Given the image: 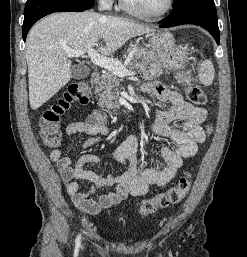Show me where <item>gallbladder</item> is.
<instances>
[{
    "instance_id": "gallbladder-1",
    "label": "gallbladder",
    "mask_w": 247,
    "mask_h": 257,
    "mask_svg": "<svg viewBox=\"0 0 247 257\" xmlns=\"http://www.w3.org/2000/svg\"><path fill=\"white\" fill-rule=\"evenodd\" d=\"M70 72L73 79L80 80L89 75L90 69L84 64H76L71 67Z\"/></svg>"
}]
</instances>
